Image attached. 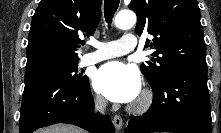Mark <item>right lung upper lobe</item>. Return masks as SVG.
Instances as JSON below:
<instances>
[{
  "label": "right lung upper lobe",
  "mask_w": 221,
  "mask_h": 133,
  "mask_svg": "<svg viewBox=\"0 0 221 133\" xmlns=\"http://www.w3.org/2000/svg\"><path fill=\"white\" fill-rule=\"evenodd\" d=\"M102 0H41L31 22L25 74L78 62L82 36L93 35Z\"/></svg>",
  "instance_id": "right-lung-upper-lobe-1"
}]
</instances>
